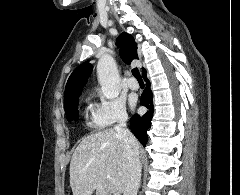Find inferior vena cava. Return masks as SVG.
<instances>
[{
    "mask_svg": "<svg viewBox=\"0 0 240 195\" xmlns=\"http://www.w3.org/2000/svg\"><path fill=\"white\" fill-rule=\"evenodd\" d=\"M128 119L127 113H121L117 125L114 129L117 137L122 139L124 145L128 149L129 159V177H127L124 185L123 195H137L141 179V163L139 159V145L136 137L132 135L131 131L127 129L126 121Z\"/></svg>",
    "mask_w": 240,
    "mask_h": 195,
    "instance_id": "inferior-vena-cava-1",
    "label": "inferior vena cava"
}]
</instances>
